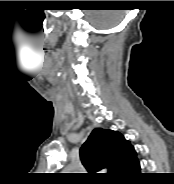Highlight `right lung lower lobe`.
I'll return each instance as SVG.
<instances>
[{
  "instance_id": "98d812e1",
  "label": "right lung lower lobe",
  "mask_w": 174,
  "mask_h": 184,
  "mask_svg": "<svg viewBox=\"0 0 174 184\" xmlns=\"http://www.w3.org/2000/svg\"><path fill=\"white\" fill-rule=\"evenodd\" d=\"M140 170V164L136 158L126 166L121 175L118 177L117 182L129 183V180L137 178L141 175Z\"/></svg>"
}]
</instances>
